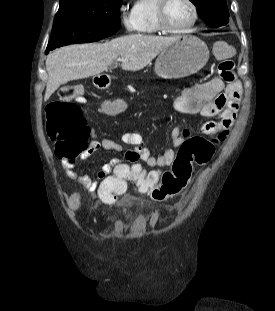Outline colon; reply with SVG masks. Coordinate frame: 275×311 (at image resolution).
Wrapping results in <instances>:
<instances>
[{"label":"colon","mask_w":275,"mask_h":311,"mask_svg":"<svg viewBox=\"0 0 275 311\" xmlns=\"http://www.w3.org/2000/svg\"><path fill=\"white\" fill-rule=\"evenodd\" d=\"M228 52L225 42H217L213 47V54L220 59L218 73L225 82L235 79L234 63L224 58ZM81 91L73 86L63 89L60 99L52 101L46 108L47 133L54 142V152L57 158L75 160L88 148L89 127L77 104H85V97H78ZM77 97V98H76ZM76 98V103L70 102ZM119 98L107 101L103 107L104 113L115 116L125 113L130 116L126 106H118ZM123 103L139 104V97L122 99ZM228 136V128L222 127L208 137L193 136L188 138L179 148L172 168L158 175L155 171H147L139 164L120 166L116 175H105L103 183L98 184L96 196L100 202H115L127 188L126 181H131L135 188L154 201H164L181 193L189 184L195 167L208 165L214 157L216 146L223 143ZM132 161V160H129Z\"/></svg>","instance_id":"5ec220e1"}]
</instances>
